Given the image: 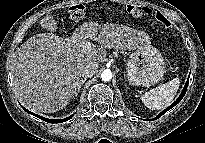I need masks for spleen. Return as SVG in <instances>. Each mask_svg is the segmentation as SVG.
Here are the masks:
<instances>
[{
    "instance_id": "spleen-1",
    "label": "spleen",
    "mask_w": 205,
    "mask_h": 143,
    "mask_svg": "<svg viewBox=\"0 0 205 143\" xmlns=\"http://www.w3.org/2000/svg\"><path fill=\"white\" fill-rule=\"evenodd\" d=\"M180 86L179 78L162 84L146 92L141 100L146 107L152 110H162L168 107L174 100Z\"/></svg>"
}]
</instances>
